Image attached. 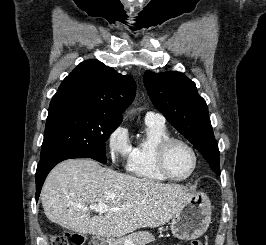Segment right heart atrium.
<instances>
[{"instance_id": "obj_1", "label": "right heart atrium", "mask_w": 266, "mask_h": 245, "mask_svg": "<svg viewBox=\"0 0 266 245\" xmlns=\"http://www.w3.org/2000/svg\"><path fill=\"white\" fill-rule=\"evenodd\" d=\"M106 149L111 165L128 164L132 153L128 129L124 125L115 126L106 137Z\"/></svg>"}]
</instances>
